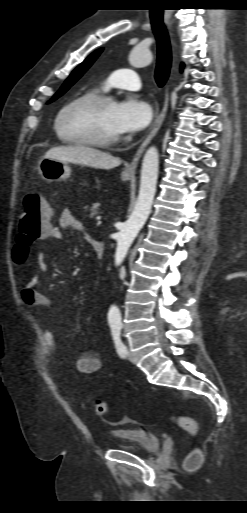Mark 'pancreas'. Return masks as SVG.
Segmentation results:
<instances>
[{
	"instance_id": "obj_1",
	"label": "pancreas",
	"mask_w": 247,
	"mask_h": 513,
	"mask_svg": "<svg viewBox=\"0 0 247 513\" xmlns=\"http://www.w3.org/2000/svg\"><path fill=\"white\" fill-rule=\"evenodd\" d=\"M99 203H93L92 206L89 208L90 210V218L95 217L99 213Z\"/></svg>"
}]
</instances>
